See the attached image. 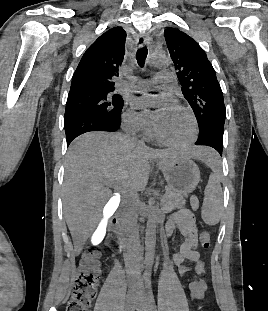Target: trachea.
<instances>
[{
    "label": "trachea",
    "instance_id": "obj_1",
    "mask_svg": "<svg viewBox=\"0 0 268 311\" xmlns=\"http://www.w3.org/2000/svg\"><path fill=\"white\" fill-rule=\"evenodd\" d=\"M147 53H148V50H147L146 47H142V48H139L137 50L136 59H137L138 65L140 67H144L145 60H146V57H147Z\"/></svg>",
    "mask_w": 268,
    "mask_h": 311
}]
</instances>
